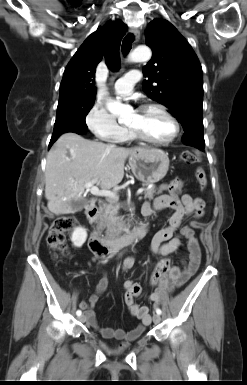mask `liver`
<instances>
[{
    "instance_id": "obj_1",
    "label": "liver",
    "mask_w": 247,
    "mask_h": 385,
    "mask_svg": "<svg viewBox=\"0 0 247 385\" xmlns=\"http://www.w3.org/2000/svg\"><path fill=\"white\" fill-rule=\"evenodd\" d=\"M134 149L119 148L90 141L67 132L62 134L47 155L45 197L55 215L72 212L73 201L84 200V185L97 179L102 189L117 186L124 177V164Z\"/></svg>"
}]
</instances>
